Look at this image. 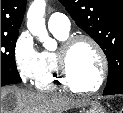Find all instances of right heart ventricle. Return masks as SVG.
Instances as JSON below:
<instances>
[{"mask_svg":"<svg viewBox=\"0 0 123 113\" xmlns=\"http://www.w3.org/2000/svg\"><path fill=\"white\" fill-rule=\"evenodd\" d=\"M52 33L60 41L65 40L69 36V32ZM35 86L41 91H53L58 87L68 88L62 81L58 71L57 51L45 50L40 53L39 71L35 80Z\"/></svg>","mask_w":123,"mask_h":113,"instance_id":"right-heart-ventricle-1","label":"right heart ventricle"}]
</instances>
